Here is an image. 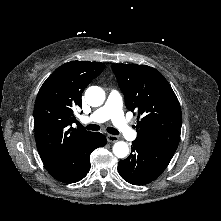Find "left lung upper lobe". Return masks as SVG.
Here are the masks:
<instances>
[{
  "label": "left lung upper lobe",
  "instance_id": "left-lung-upper-lobe-1",
  "mask_svg": "<svg viewBox=\"0 0 221 221\" xmlns=\"http://www.w3.org/2000/svg\"><path fill=\"white\" fill-rule=\"evenodd\" d=\"M128 110L137 112V139L175 152L182 113L179 101L165 77L147 65L113 64Z\"/></svg>",
  "mask_w": 221,
  "mask_h": 221
}]
</instances>
